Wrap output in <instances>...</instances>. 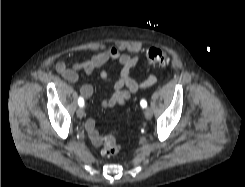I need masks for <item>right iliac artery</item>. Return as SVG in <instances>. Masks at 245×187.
<instances>
[{
	"mask_svg": "<svg viewBox=\"0 0 245 187\" xmlns=\"http://www.w3.org/2000/svg\"><path fill=\"white\" fill-rule=\"evenodd\" d=\"M78 105L80 107H83L84 106V99L82 97H79V99H78Z\"/></svg>",
	"mask_w": 245,
	"mask_h": 187,
	"instance_id": "1",
	"label": "right iliac artery"
}]
</instances>
